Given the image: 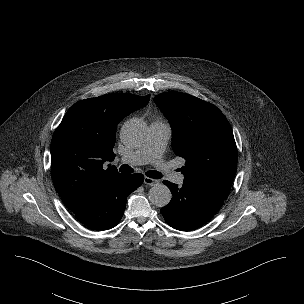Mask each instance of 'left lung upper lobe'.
I'll use <instances>...</instances> for the list:
<instances>
[{
  "label": "left lung upper lobe",
  "mask_w": 304,
  "mask_h": 304,
  "mask_svg": "<svg viewBox=\"0 0 304 304\" xmlns=\"http://www.w3.org/2000/svg\"><path fill=\"white\" fill-rule=\"evenodd\" d=\"M154 101L172 127L175 154L186 160L183 184L225 200L237 170L236 143L226 117L185 93H161Z\"/></svg>",
  "instance_id": "left-lung-upper-lobe-1"
}]
</instances>
